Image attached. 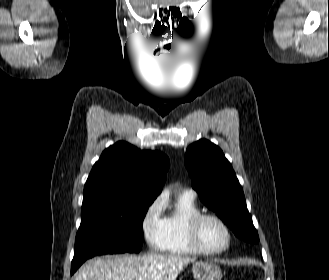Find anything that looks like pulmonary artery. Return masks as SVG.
<instances>
[{"mask_svg":"<svg viewBox=\"0 0 329 280\" xmlns=\"http://www.w3.org/2000/svg\"><path fill=\"white\" fill-rule=\"evenodd\" d=\"M186 192L192 194L193 196H195V191L193 189H188L186 190Z\"/></svg>","mask_w":329,"mask_h":280,"instance_id":"1","label":"pulmonary artery"}]
</instances>
